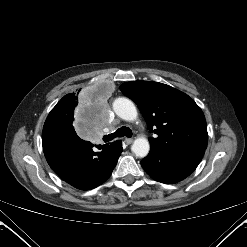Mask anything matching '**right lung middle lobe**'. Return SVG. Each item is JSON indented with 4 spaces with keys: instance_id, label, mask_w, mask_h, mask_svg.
<instances>
[{
    "instance_id": "1",
    "label": "right lung middle lobe",
    "mask_w": 247,
    "mask_h": 247,
    "mask_svg": "<svg viewBox=\"0 0 247 247\" xmlns=\"http://www.w3.org/2000/svg\"><path fill=\"white\" fill-rule=\"evenodd\" d=\"M77 98L72 101L64 102L62 104H57L51 110L46 120L58 121L73 126V122L75 120V112L77 109L76 108Z\"/></svg>"
}]
</instances>
